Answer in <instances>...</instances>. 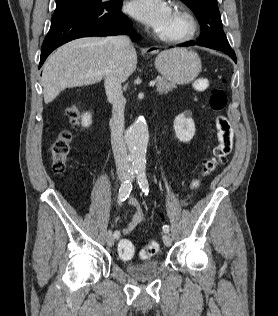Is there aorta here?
Returning <instances> with one entry per match:
<instances>
[{"mask_svg": "<svg viewBox=\"0 0 278 316\" xmlns=\"http://www.w3.org/2000/svg\"><path fill=\"white\" fill-rule=\"evenodd\" d=\"M132 168L144 171L146 168V151L149 141L148 126L143 116H139L125 134Z\"/></svg>", "mask_w": 278, "mask_h": 316, "instance_id": "762f6f07", "label": "aorta"}]
</instances>
